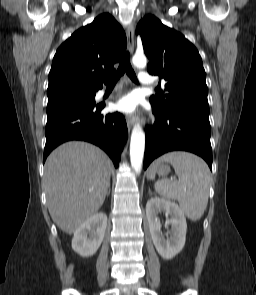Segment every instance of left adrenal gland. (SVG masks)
Returning a JSON list of instances; mask_svg holds the SVG:
<instances>
[{"mask_svg": "<svg viewBox=\"0 0 256 295\" xmlns=\"http://www.w3.org/2000/svg\"><path fill=\"white\" fill-rule=\"evenodd\" d=\"M153 193L151 192V190L149 189V195L151 196Z\"/></svg>", "mask_w": 256, "mask_h": 295, "instance_id": "1", "label": "left adrenal gland"}]
</instances>
